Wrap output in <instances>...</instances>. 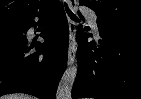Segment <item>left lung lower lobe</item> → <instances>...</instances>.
Instances as JSON below:
<instances>
[{
    "label": "left lung lower lobe",
    "instance_id": "0a47b994",
    "mask_svg": "<svg viewBox=\"0 0 141 99\" xmlns=\"http://www.w3.org/2000/svg\"><path fill=\"white\" fill-rule=\"evenodd\" d=\"M80 17H83L80 14ZM99 49L77 31L78 73L72 98L141 99V27L97 20Z\"/></svg>",
    "mask_w": 141,
    "mask_h": 99
}]
</instances>
